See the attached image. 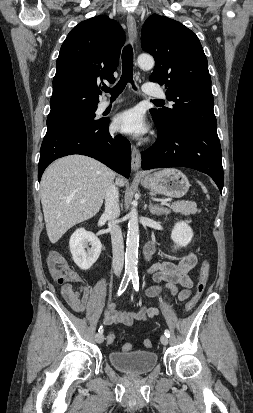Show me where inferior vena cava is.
I'll list each match as a JSON object with an SVG mask.
<instances>
[{
    "label": "inferior vena cava",
    "instance_id": "inferior-vena-cava-1",
    "mask_svg": "<svg viewBox=\"0 0 253 413\" xmlns=\"http://www.w3.org/2000/svg\"><path fill=\"white\" fill-rule=\"evenodd\" d=\"M105 216L109 220L108 227L111 234L113 252V270L120 275L124 266V244L121 228L117 218L120 215L119 192L116 184H111L105 194Z\"/></svg>",
    "mask_w": 253,
    "mask_h": 413
}]
</instances>
